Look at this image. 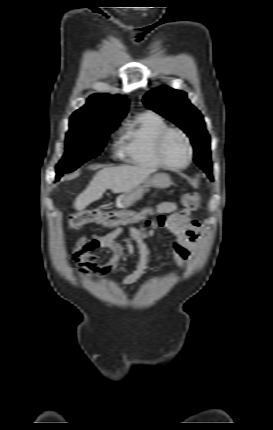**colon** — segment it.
Instances as JSON below:
<instances>
[{"mask_svg":"<svg viewBox=\"0 0 273 430\" xmlns=\"http://www.w3.org/2000/svg\"><path fill=\"white\" fill-rule=\"evenodd\" d=\"M182 204L185 207L183 210L184 212L195 211L201 205V198L197 193H186L182 196ZM151 212L152 210L148 208L139 211H106L98 208L87 209L71 217L69 220V227L71 229H79L90 223L103 226L129 224L144 219L146 216L150 215ZM82 251H88V247L79 244L75 249V258H79L80 252Z\"/></svg>","mask_w":273,"mask_h":430,"instance_id":"colon-1","label":"colon"}]
</instances>
